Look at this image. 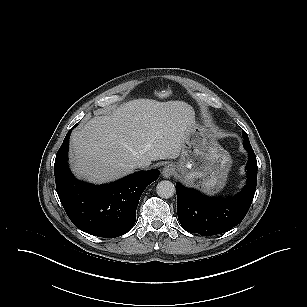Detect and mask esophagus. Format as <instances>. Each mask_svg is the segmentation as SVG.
Instances as JSON below:
<instances>
[{
	"label": "esophagus",
	"instance_id": "34e87169",
	"mask_svg": "<svg viewBox=\"0 0 307 307\" xmlns=\"http://www.w3.org/2000/svg\"><path fill=\"white\" fill-rule=\"evenodd\" d=\"M175 172V168L172 164H168L163 168L162 175L164 178H170Z\"/></svg>",
	"mask_w": 307,
	"mask_h": 307
}]
</instances>
